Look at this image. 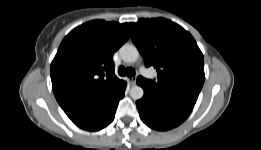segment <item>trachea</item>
<instances>
[{"instance_id": "3493384b", "label": "trachea", "mask_w": 261, "mask_h": 150, "mask_svg": "<svg viewBox=\"0 0 261 150\" xmlns=\"http://www.w3.org/2000/svg\"><path fill=\"white\" fill-rule=\"evenodd\" d=\"M118 74L120 76H128V77H132L135 75V69L131 68V67H128V68H125L124 66H120L118 68Z\"/></svg>"}]
</instances>
